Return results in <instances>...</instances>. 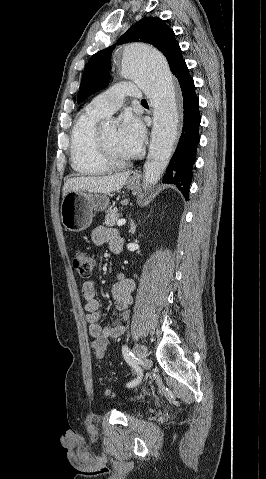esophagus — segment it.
<instances>
[{
  "instance_id": "1",
  "label": "esophagus",
  "mask_w": 266,
  "mask_h": 479,
  "mask_svg": "<svg viewBox=\"0 0 266 479\" xmlns=\"http://www.w3.org/2000/svg\"><path fill=\"white\" fill-rule=\"evenodd\" d=\"M132 178L136 179V176H132Z\"/></svg>"
}]
</instances>
